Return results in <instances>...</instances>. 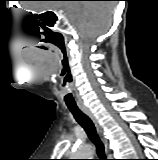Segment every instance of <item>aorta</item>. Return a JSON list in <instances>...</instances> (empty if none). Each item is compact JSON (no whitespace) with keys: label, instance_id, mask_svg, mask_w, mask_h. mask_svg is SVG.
I'll list each match as a JSON object with an SVG mask.
<instances>
[{"label":"aorta","instance_id":"aorta-1","mask_svg":"<svg viewBox=\"0 0 158 160\" xmlns=\"http://www.w3.org/2000/svg\"><path fill=\"white\" fill-rule=\"evenodd\" d=\"M93 149L90 145H80L72 155V159H91Z\"/></svg>","mask_w":158,"mask_h":160}]
</instances>
